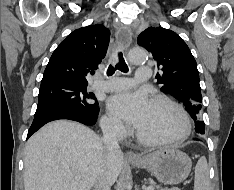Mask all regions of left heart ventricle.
Instances as JSON below:
<instances>
[{"label": "left heart ventricle", "mask_w": 234, "mask_h": 190, "mask_svg": "<svg viewBox=\"0 0 234 190\" xmlns=\"http://www.w3.org/2000/svg\"><path fill=\"white\" fill-rule=\"evenodd\" d=\"M137 129L149 138H172L182 132L183 123L178 113L168 104L151 102L143 122Z\"/></svg>", "instance_id": "1"}]
</instances>
